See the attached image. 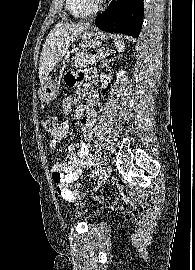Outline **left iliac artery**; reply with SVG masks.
<instances>
[{"label": "left iliac artery", "mask_w": 195, "mask_h": 270, "mask_svg": "<svg viewBox=\"0 0 195 270\" xmlns=\"http://www.w3.org/2000/svg\"><path fill=\"white\" fill-rule=\"evenodd\" d=\"M92 164V163H91ZM102 171L101 166H98V169L95 171L96 175H99V173Z\"/></svg>", "instance_id": "left-iliac-artery-1"}]
</instances>
